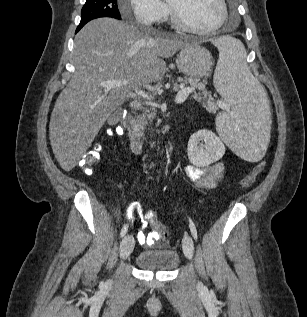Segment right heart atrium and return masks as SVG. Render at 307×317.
Here are the masks:
<instances>
[{"mask_svg":"<svg viewBox=\"0 0 307 317\" xmlns=\"http://www.w3.org/2000/svg\"><path fill=\"white\" fill-rule=\"evenodd\" d=\"M130 7L121 6L120 11L124 18L132 14L135 21L151 27L163 22L168 16V7L161 0H128Z\"/></svg>","mask_w":307,"mask_h":317,"instance_id":"d8ad5b80","label":"right heart atrium"}]
</instances>
